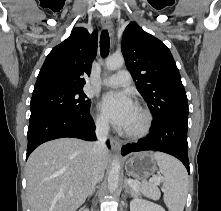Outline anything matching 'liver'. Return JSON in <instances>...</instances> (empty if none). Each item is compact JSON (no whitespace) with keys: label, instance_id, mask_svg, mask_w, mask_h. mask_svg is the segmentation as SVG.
Returning a JSON list of instances; mask_svg holds the SVG:
<instances>
[{"label":"liver","instance_id":"obj_1","mask_svg":"<svg viewBox=\"0 0 221 211\" xmlns=\"http://www.w3.org/2000/svg\"><path fill=\"white\" fill-rule=\"evenodd\" d=\"M106 149L101 157L104 168ZM92 144L60 138L40 145L28 158L27 196L31 211H75L92 187Z\"/></svg>","mask_w":221,"mask_h":211}]
</instances>
